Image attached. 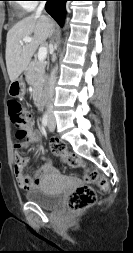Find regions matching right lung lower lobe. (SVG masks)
I'll use <instances>...</instances> for the list:
<instances>
[{"label":"right lung lower lobe","instance_id":"obj_1","mask_svg":"<svg viewBox=\"0 0 133 253\" xmlns=\"http://www.w3.org/2000/svg\"><path fill=\"white\" fill-rule=\"evenodd\" d=\"M66 1L68 0H46V11L58 22L60 26L64 23Z\"/></svg>","mask_w":133,"mask_h":253}]
</instances>
